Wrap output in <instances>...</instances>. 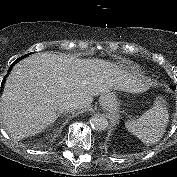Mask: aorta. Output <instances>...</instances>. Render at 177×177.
I'll return each mask as SVG.
<instances>
[{"mask_svg":"<svg viewBox=\"0 0 177 177\" xmlns=\"http://www.w3.org/2000/svg\"><path fill=\"white\" fill-rule=\"evenodd\" d=\"M90 125L96 131H104L108 127V121L102 115H94L90 119Z\"/></svg>","mask_w":177,"mask_h":177,"instance_id":"1","label":"aorta"}]
</instances>
